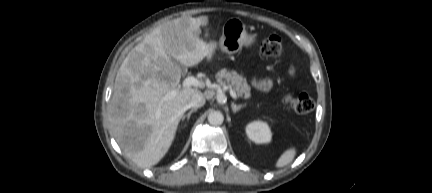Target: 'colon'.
<instances>
[{
  "instance_id": "obj_1",
  "label": "colon",
  "mask_w": 432,
  "mask_h": 193,
  "mask_svg": "<svg viewBox=\"0 0 432 193\" xmlns=\"http://www.w3.org/2000/svg\"><path fill=\"white\" fill-rule=\"evenodd\" d=\"M261 53L267 57H280L283 53V44L280 37L272 35L264 40L261 44ZM282 101L299 114L309 113L315 106L313 99L305 93L299 95L286 93L282 96Z\"/></svg>"
}]
</instances>
